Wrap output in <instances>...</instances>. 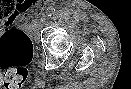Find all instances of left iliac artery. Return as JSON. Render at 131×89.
<instances>
[{
  "label": "left iliac artery",
  "mask_w": 131,
  "mask_h": 89,
  "mask_svg": "<svg viewBox=\"0 0 131 89\" xmlns=\"http://www.w3.org/2000/svg\"><path fill=\"white\" fill-rule=\"evenodd\" d=\"M55 13V8L54 7H49L46 11V14L48 17L52 16Z\"/></svg>",
  "instance_id": "left-iliac-artery-1"
}]
</instances>
